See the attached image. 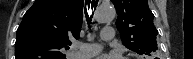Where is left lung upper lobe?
Masks as SVG:
<instances>
[{
    "label": "left lung upper lobe",
    "instance_id": "left-lung-upper-lobe-1",
    "mask_svg": "<svg viewBox=\"0 0 193 59\" xmlns=\"http://www.w3.org/2000/svg\"><path fill=\"white\" fill-rule=\"evenodd\" d=\"M118 18L116 26L123 44L140 55H152L157 51L158 31L153 24L154 15L147 0H111Z\"/></svg>",
    "mask_w": 193,
    "mask_h": 59
}]
</instances>
